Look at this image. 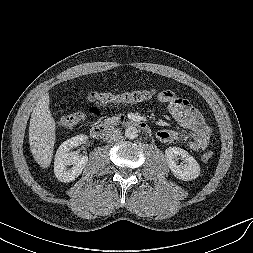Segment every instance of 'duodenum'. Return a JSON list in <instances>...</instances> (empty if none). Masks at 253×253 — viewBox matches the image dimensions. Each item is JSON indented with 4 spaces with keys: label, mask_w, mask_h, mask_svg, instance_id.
<instances>
[{
    "label": "duodenum",
    "mask_w": 253,
    "mask_h": 253,
    "mask_svg": "<svg viewBox=\"0 0 253 253\" xmlns=\"http://www.w3.org/2000/svg\"><path fill=\"white\" fill-rule=\"evenodd\" d=\"M114 124H121L125 126L135 127L142 130L145 133H151L150 126L141 120L138 119H129L125 116H119L111 121H104L95 124L90 129V134L95 139L103 138L110 130L111 126Z\"/></svg>",
    "instance_id": "1"
}]
</instances>
